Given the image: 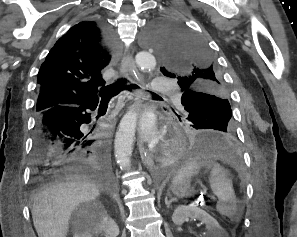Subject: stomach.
<instances>
[{
  "mask_svg": "<svg viewBox=\"0 0 297 237\" xmlns=\"http://www.w3.org/2000/svg\"><path fill=\"white\" fill-rule=\"evenodd\" d=\"M172 193L178 198H184L192 195L193 188L189 180L184 179L178 183H172L170 187Z\"/></svg>",
  "mask_w": 297,
  "mask_h": 237,
  "instance_id": "1",
  "label": "stomach"
}]
</instances>
